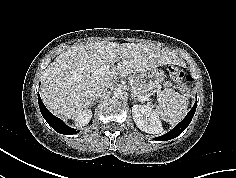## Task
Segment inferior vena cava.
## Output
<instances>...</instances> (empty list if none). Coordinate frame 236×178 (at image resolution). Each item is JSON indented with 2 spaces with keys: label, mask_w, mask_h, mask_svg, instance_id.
<instances>
[{
  "label": "inferior vena cava",
  "mask_w": 236,
  "mask_h": 178,
  "mask_svg": "<svg viewBox=\"0 0 236 178\" xmlns=\"http://www.w3.org/2000/svg\"><path fill=\"white\" fill-rule=\"evenodd\" d=\"M111 86V82H105L103 84H100V85H96L93 90H92V93H93V96L94 97H98L100 96L102 93H104L107 88H109Z\"/></svg>",
  "instance_id": "602c4592"
}]
</instances>
